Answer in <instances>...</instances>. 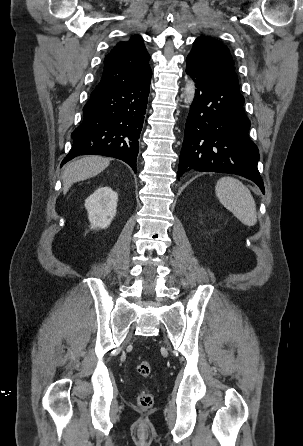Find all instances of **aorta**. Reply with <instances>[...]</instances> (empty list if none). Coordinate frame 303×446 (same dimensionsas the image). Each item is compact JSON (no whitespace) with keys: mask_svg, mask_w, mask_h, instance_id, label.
Masks as SVG:
<instances>
[{"mask_svg":"<svg viewBox=\"0 0 303 446\" xmlns=\"http://www.w3.org/2000/svg\"><path fill=\"white\" fill-rule=\"evenodd\" d=\"M195 90H196L195 83L193 81H189L185 87L184 101L187 105H190L193 102L195 97Z\"/></svg>","mask_w":303,"mask_h":446,"instance_id":"aorta-1","label":"aorta"}]
</instances>
